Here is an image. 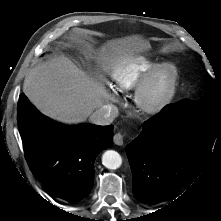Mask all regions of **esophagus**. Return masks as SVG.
Listing matches in <instances>:
<instances>
[{
  "label": "esophagus",
  "instance_id": "obj_1",
  "mask_svg": "<svg viewBox=\"0 0 221 221\" xmlns=\"http://www.w3.org/2000/svg\"><path fill=\"white\" fill-rule=\"evenodd\" d=\"M113 141L116 145H123V135L121 133H116L113 137Z\"/></svg>",
  "mask_w": 221,
  "mask_h": 221
}]
</instances>
